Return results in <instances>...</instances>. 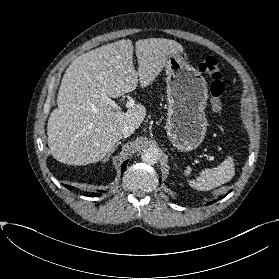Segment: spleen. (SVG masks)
Listing matches in <instances>:
<instances>
[{
    "label": "spleen",
    "instance_id": "spleen-1",
    "mask_svg": "<svg viewBox=\"0 0 279 279\" xmlns=\"http://www.w3.org/2000/svg\"><path fill=\"white\" fill-rule=\"evenodd\" d=\"M190 173L187 168L185 174ZM235 174L233 158L228 157L221 165L214 169H205L196 181H191V186L200 191L212 190L229 182Z\"/></svg>",
    "mask_w": 279,
    "mask_h": 279
}]
</instances>
